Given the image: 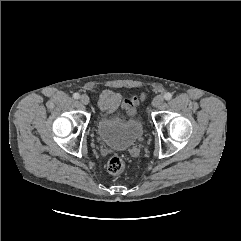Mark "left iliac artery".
Wrapping results in <instances>:
<instances>
[{
	"instance_id": "44dca946",
	"label": "left iliac artery",
	"mask_w": 241,
	"mask_h": 241,
	"mask_svg": "<svg viewBox=\"0 0 241 241\" xmlns=\"http://www.w3.org/2000/svg\"><path fill=\"white\" fill-rule=\"evenodd\" d=\"M164 98H165V100L168 101V100L172 99V94L167 92V93L164 94Z\"/></svg>"
}]
</instances>
